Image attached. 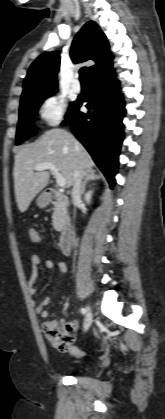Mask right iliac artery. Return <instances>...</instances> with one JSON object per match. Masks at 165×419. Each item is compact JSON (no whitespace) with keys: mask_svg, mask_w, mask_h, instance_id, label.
I'll use <instances>...</instances> for the list:
<instances>
[{"mask_svg":"<svg viewBox=\"0 0 165 419\" xmlns=\"http://www.w3.org/2000/svg\"><path fill=\"white\" fill-rule=\"evenodd\" d=\"M80 311H81V314H82V315H85V314H86V309H85V308H81V310H80Z\"/></svg>","mask_w":165,"mask_h":419,"instance_id":"1","label":"right iliac artery"}]
</instances>
